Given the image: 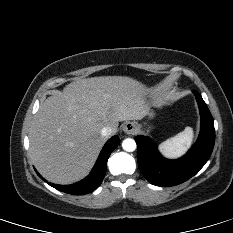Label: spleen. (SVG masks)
I'll return each mask as SVG.
<instances>
[{"label": "spleen", "instance_id": "3e777b00", "mask_svg": "<svg viewBox=\"0 0 233 233\" xmlns=\"http://www.w3.org/2000/svg\"><path fill=\"white\" fill-rule=\"evenodd\" d=\"M193 136V129L186 127L184 131L162 142L158 149L166 157H179L191 146Z\"/></svg>", "mask_w": 233, "mask_h": 233}]
</instances>
